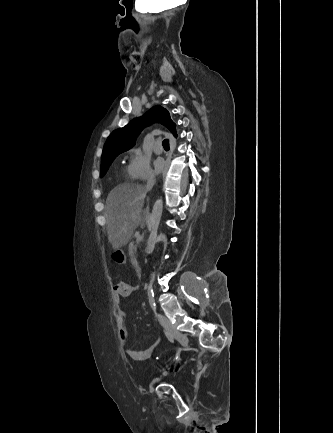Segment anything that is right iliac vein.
Segmentation results:
<instances>
[{"instance_id": "obj_1", "label": "right iliac vein", "mask_w": 333, "mask_h": 433, "mask_svg": "<svg viewBox=\"0 0 333 433\" xmlns=\"http://www.w3.org/2000/svg\"><path fill=\"white\" fill-rule=\"evenodd\" d=\"M164 326V328L177 340V341H179L180 342V344L182 345V346H186V345H188V343H189V339H188V337L185 335V334H183V333H181L180 331H178L173 325H171L170 323H167V324H164L163 325ZM159 381V379H155L154 381H153V383H156V382H158ZM153 391H154V387L153 386H151L150 387V393H153Z\"/></svg>"}]
</instances>
